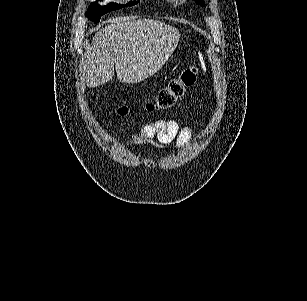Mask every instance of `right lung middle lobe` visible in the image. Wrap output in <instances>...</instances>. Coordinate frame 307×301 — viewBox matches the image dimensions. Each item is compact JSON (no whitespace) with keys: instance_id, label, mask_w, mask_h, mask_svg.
<instances>
[{"instance_id":"obj_1","label":"right lung middle lobe","mask_w":307,"mask_h":301,"mask_svg":"<svg viewBox=\"0 0 307 301\" xmlns=\"http://www.w3.org/2000/svg\"><path fill=\"white\" fill-rule=\"evenodd\" d=\"M134 4H137V2H129L125 5H119L115 3H110L106 6H100L96 2H93L90 4L88 11L86 13V16L93 22L97 23L100 21V18L103 14L120 9L122 7L132 6Z\"/></svg>"}]
</instances>
